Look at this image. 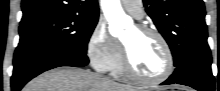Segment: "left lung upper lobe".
<instances>
[{
	"label": "left lung upper lobe",
	"mask_w": 220,
	"mask_h": 91,
	"mask_svg": "<svg viewBox=\"0 0 220 91\" xmlns=\"http://www.w3.org/2000/svg\"><path fill=\"white\" fill-rule=\"evenodd\" d=\"M143 3L170 46L176 68L211 54L202 0H143Z\"/></svg>",
	"instance_id": "obj_1"
}]
</instances>
